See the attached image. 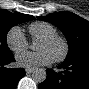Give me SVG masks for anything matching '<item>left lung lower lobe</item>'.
Segmentation results:
<instances>
[{"mask_svg":"<svg viewBox=\"0 0 89 89\" xmlns=\"http://www.w3.org/2000/svg\"><path fill=\"white\" fill-rule=\"evenodd\" d=\"M59 68L64 72L46 70V80L39 84V89H89V56L64 61Z\"/></svg>","mask_w":89,"mask_h":89,"instance_id":"left-lung-lower-lobe-1","label":"left lung lower lobe"}]
</instances>
